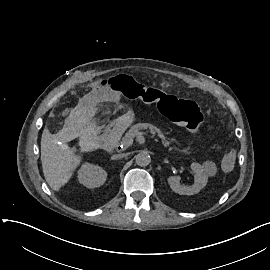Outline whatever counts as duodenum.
<instances>
[{
	"label": "duodenum",
	"instance_id": "410a0bca",
	"mask_svg": "<svg viewBox=\"0 0 270 270\" xmlns=\"http://www.w3.org/2000/svg\"><path fill=\"white\" fill-rule=\"evenodd\" d=\"M124 128L123 121H115L108 126L103 139V147L106 151H112L117 146Z\"/></svg>",
	"mask_w": 270,
	"mask_h": 270
}]
</instances>
